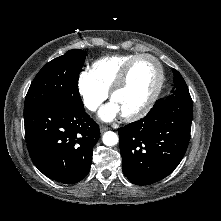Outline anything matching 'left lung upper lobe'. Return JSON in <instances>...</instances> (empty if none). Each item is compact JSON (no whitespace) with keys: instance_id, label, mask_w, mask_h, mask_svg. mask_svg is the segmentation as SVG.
Listing matches in <instances>:
<instances>
[{"instance_id":"1","label":"left lung upper lobe","mask_w":221,"mask_h":221,"mask_svg":"<svg viewBox=\"0 0 221 221\" xmlns=\"http://www.w3.org/2000/svg\"><path fill=\"white\" fill-rule=\"evenodd\" d=\"M174 71V90H188V87L183 79V77L181 76V74L173 69Z\"/></svg>"}]
</instances>
